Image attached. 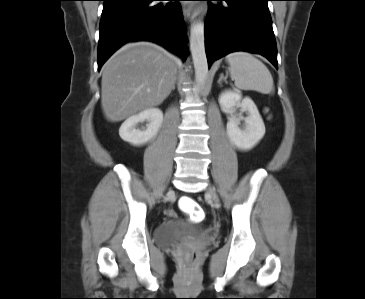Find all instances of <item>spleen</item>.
Wrapping results in <instances>:
<instances>
[{
	"instance_id": "1",
	"label": "spleen",
	"mask_w": 365,
	"mask_h": 299,
	"mask_svg": "<svg viewBox=\"0 0 365 299\" xmlns=\"http://www.w3.org/2000/svg\"><path fill=\"white\" fill-rule=\"evenodd\" d=\"M226 60L230 66V77L237 88L264 94L273 91V78L270 71L250 53L233 52L226 57Z\"/></svg>"
}]
</instances>
